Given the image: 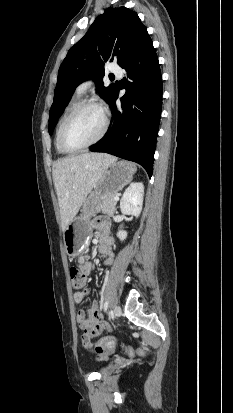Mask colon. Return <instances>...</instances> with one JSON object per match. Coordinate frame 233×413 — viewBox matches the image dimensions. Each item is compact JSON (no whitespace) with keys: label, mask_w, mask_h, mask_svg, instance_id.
Wrapping results in <instances>:
<instances>
[{"label":"colon","mask_w":233,"mask_h":413,"mask_svg":"<svg viewBox=\"0 0 233 413\" xmlns=\"http://www.w3.org/2000/svg\"><path fill=\"white\" fill-rule=\"evenodd\" d=\"M70 278L72 287L74 290L78 291L81 290L85 286V275L81 272L80 268L78 267H71L70 268ZM114 343V339L110 336H105L96 344L93 348V351L96 353L103 352L108 350ZM125 352L128 356L133 357L136 354L142 353L141 349H135L130 346H126L124 348Z\"/></svg>","instance_id":"colon-1"}]
</instances>
